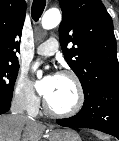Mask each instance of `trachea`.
<instances>
[{"mask_svg": "<svg viewBox=\"0 0 119 141\" xmlns=\"http://www.w3.org/2000/svg\"><path fill=\"white\" fill-rule=\"evenodd\" d=\"M46 5V0H34L31 8V15L35 21L41 17Z\"/></svg>", "mask_w": 119, "mask_h": 141, "instance_id": "3493384b", "label": "trachea"}]
</instances>
